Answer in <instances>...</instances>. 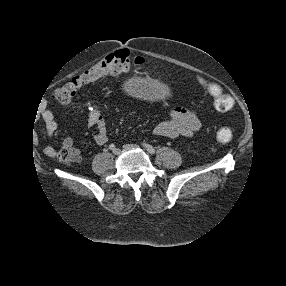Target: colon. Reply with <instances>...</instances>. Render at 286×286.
Returning a JSON list of instances; mask_svg holds the SVG:
<instances>
[{"instance_id":"colon-1","label":"colon","mask_w":286,"mask_h":286,"mask_svg":"<svg viewBox=\"0 0 286 286\" xmlns=\"http://www.w3.org/2000/svg\"><path fill=\"white\" fill-rule=\"evenodd\" d=\"M144 64L145 60L142 57L132 56L127 50L113 52L56 89L53 93V98L61 104L69 103L80 89L96 80L108 75L125 74ZM197 79L213 95L216 110L219 112H228L233 109V98L230 95L224 94L218 84ZM233 137V130L228 126H219L215 131V139L218 143L229 144L233 140ZM56 156L60 161L71 159L70 151L64 147L57 151Z\"/></svg>"}]
</instances>
